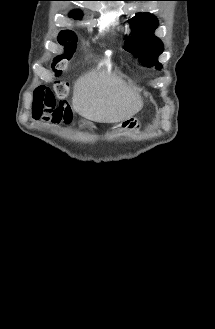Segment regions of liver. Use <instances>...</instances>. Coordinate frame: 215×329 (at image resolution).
Segmentation results:
<instances>
[{
	"mask_svg": "<svg viewBox=\"0 0 215 329\" xmlns=\"http://www.w3.org/2000/svg\"><path fill=\"white\" fill-rule=\"evenodd\" d=\"M72 106L89 121L118 123L138 113L143 102L120 78L90 71L75 82Z\"/></svg>",
	"mask_w": 215,
	"mask_h": 329,
	"instance_id": "6515ba94",
	"label": "liver"
}]
</instances>
